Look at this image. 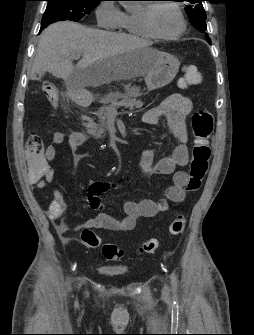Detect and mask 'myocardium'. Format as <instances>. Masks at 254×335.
<instances>
[{
    "instance_id": "f54148a6",
    "label": "myocardium",
    "mask_w": 254,
    "mask_h": 335,
    "mask_svg": "<svg viewBox=\"0 0 254 335\" xmlns=\"http://www.w3.org/2000/svg\"><path fill=\"white\" fill-rule=\"evenodd\" d=\"M162 5H167V6L172 7L179 16L180 28L177 32H175L173 34H168V35L167 34H162L156 29V27L154 25V21H153L154 12H155L157 7L162 6ZM140 18H141V21H142L144 27L146 28V30L153 37L158 38V39H162V40L178 39L179 37H181L183 35V33L187 29V22H186V19L184 17L182 9L179 7V5H177L174 2H170V1H163V2H157V3H154V4L144 5L143 8L140 11Z\"/></svg>"
}]
</instances>
